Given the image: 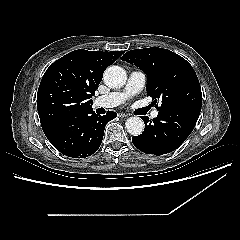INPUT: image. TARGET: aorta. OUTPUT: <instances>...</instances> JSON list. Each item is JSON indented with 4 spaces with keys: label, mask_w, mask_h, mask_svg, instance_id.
<instances>
[{
    "label": "aorta",
    "mask_w": 240,
    "mask_h": 240,
    "mask_svg": "<svg viewBox=\"0 0 240 240\" xmlns=\"http://www.w3.org/2000/svg\"><path fill=\"white\" fill-rule=\"evenodd\" d=\"M103 79L108 87L115 89L125 85L127 75L122 67L114 65L105 70ZM125 127L129 134L138 136L144 131V122L139 117H130L126 120Z\"/></svg>",
    "instance_id": "obj_1"
}]
</instances>
